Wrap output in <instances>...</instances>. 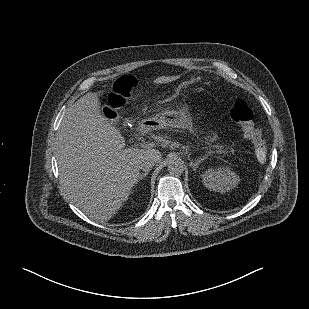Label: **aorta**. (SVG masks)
<instances>
[{
  "instance_id": "obj_1",
  "label": "aorta",
  "mask_w": 309,
  "mask_h": 309,
  "mask_svg": "<svg viewBox=\"0 0 309 309\" xmlns=\"http://www.w3.org/2000/svg\"><path fill=\"white\" fill-rule=\"evenodd\" d=\"M167 170L170 175L180 176L184 172V162L178 157H172L168 162Z\"/></svg>"
}]
</instances>
